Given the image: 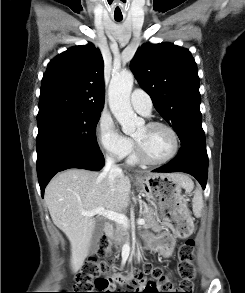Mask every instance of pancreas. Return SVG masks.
<instances>
[{"mask_svg": "<svg viewBox=\"0 0 245 293\" xmlns=\"http://www.w3.org/2000/svg\"><path fill=\"white\" fill-rule=\"evenodd\" d=\"M142 217L145 220V224L143 225L144 229H153V230H160L161 226L156 221L155 211L150 208H144L142 212ZM129 237V230L128 227H125L121 224H116L115 229L109 235V240L113 242V244L118 247L122 246Z\"/></svg>", "mask_w": 245, "mask_h": 293, "instance_id": "obj_1", "label": "pancreas"}]
</instances>
